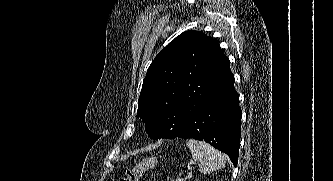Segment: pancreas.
Wrapping results in <instances>:
<instances>
[{"instance_id": "1", "label": "pancreas", "mask_w": 333, "mask_h": 181, "mask_svg": "<svg viewBox=\"0 0 333 181\" xmlns=\"http://www.w3.org/2000/svg\"><path fill=\"white\" fill-rule=\"evenodd\" d=\"M172 181H185L183 178L180 177H176L175 179H173Z\"/></svg>"}]
</instances>
